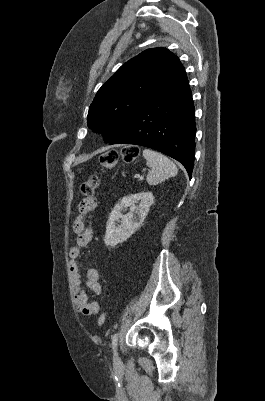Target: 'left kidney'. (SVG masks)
Here are the masks:
<instances>
[{"label":"left kidney","instance_id":"5707ae66","mask_svg":"<svg viewBox=\"0 0 265 401\" xmlns=\"http://www.w3.org/2000/svg\"><path fill=\"white\" fill-rule=\"evenodd\" d=\"M135 203H139V205H135ZM152 203H154L152 192H137V194L123 196L121 201L115 205L107 221V231L103 239L106 247H115L118 243L127 241L141 227ZM127 207L130 209L129 213L122 215L121 211ZM116 221L121 225H117Z\"/></svg>","mask_w":265,"mask_h":401}]
</instances>
